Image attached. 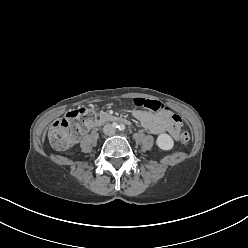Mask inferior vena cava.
Wrapping results in <instances>:
<instances>
[{"label": "inferior vena cava", "instance_id": "obj_1", "mask_svg": "<svg viewBox=\"0 0 248 248\" xmlns=\"http://www.w3.org/2000/svg\"><path fill=\"white\" fill-rule=\"evenodd\" d=\"M103 132L108 136H112L115 134V127L111 124H106L103 128Z\"/></svg>", "mask_w": 248, "mask_h": 248}]
</instances>
